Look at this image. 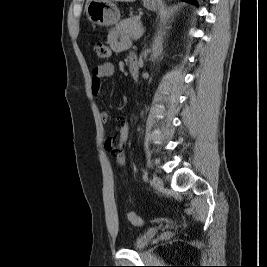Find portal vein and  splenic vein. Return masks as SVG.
<instances>
[{
    "instance_id": "18ae733b",
    "label": "portal vein and splenic vein",
    "mask_w": 267,
    "mask_h": 267,
    "mask_svg": "<svg viewBox=\"0 0 267 267\" xmlns=\"http://www.w3.org/2000/svg\"><path fill=\"white\" fill-rule=\"evenodd\" d=\"M143 32H144V28H141V30L139 31V33L136 36H134V40L139 39L142 36Z\"/></svg>"
}]
</instances>
